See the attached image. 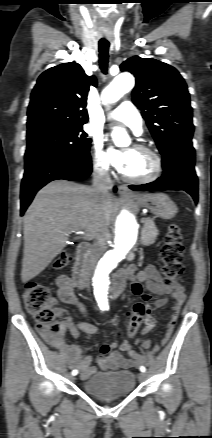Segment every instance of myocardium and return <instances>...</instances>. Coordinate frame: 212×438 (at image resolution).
I'll use <instances>...</instances> for the list:
<instances>
[{
    "instance_id": "1",
    "label": "myocardium",
    "mask_w": 212,
    "mask_h": 438,
    "mask_svg": "<svg viewBox=\"0 0 212 438\" xmlns=\"http://www.w3.org/2000/svg\"><path fill=\"white\" fill-rule=\"evenodd\" d=\"M135 149L141 150V151L149 154L152 157V160L154 163V169L150 175H148L144 178H132V177L125 175L123 172H121V177L123 178V180H125L126 182H129V183H132V184L143 185V184H148V183L154 182L157 179H159V177L161 176V174L163 172V161H162L160 155L156 151L151 149L150 147L145 146L143 144H137L135 146Z\"/></svg>"
}]
</instances>
